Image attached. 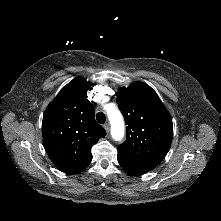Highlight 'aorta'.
<instances>
[{
  "label": "aorta",
  "instance_id": "obj_1",
  "mask_svg": "<svg viewBox=\"0 0 221 221\" xmlns=\"http://www.w3.org/2000/svg\"><path fill=\"white\" fill-rule=\"evenodd\" d=\"M108 118L111 123V135L115 141H121L124 137V120L119 110L111 109L108 111Z\"/></svg>",
  "mask_w": 221,
  "mask_h": 221
}]
</instances>
